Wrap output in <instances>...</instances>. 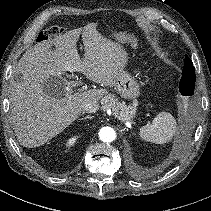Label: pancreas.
Listing matches in <instances>:
<instances>
[{"label":"pancreas","mask_w":211,"mask_h":211,"mask_svg":"<svg viewBox=\"0 0 211 211\" xmlns=\"http://www.w3.org/2000/svg\"><path fill=\"white\" fill-rule=\"evenodd\" d=\"M102 103L105 108H110L112 110L113 116L123 122H132V118L136 112V104L127 105L125 102H120L115 94L107 93L103 99Z\"/></svg>","instance_id":"obj_1"}]
</instances>
